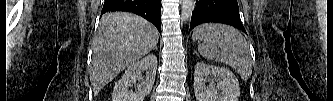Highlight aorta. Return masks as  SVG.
Masks as SVG:
<instances>
[{"mask_svg":"<svg viewBox=\"0 0 333 101\" xmlns=\"http://www.w3.org/2000/svg\"><path fill=\"white\" fill-rule=\"evenodd\" d=\"M195 6L194 0H182V20L187 21L192 15V11Z\"/></svg>","mask_w":333,"mask_h":101,"instance_id":"762f6f07","label":"aorta"}]
</instances>
